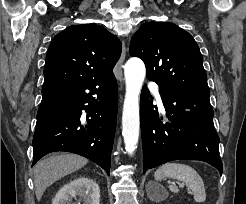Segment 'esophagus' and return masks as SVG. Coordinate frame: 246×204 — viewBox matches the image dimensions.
Returning <instances> with one entry per match:
<instances>
[{
    "mask_svg": "<svg viewBox=\"0 0 246 204\" xmlns=\"http://www.w3.org/2000/svg\"><path fill=\"white\" fill-rule=\"evenodd\" d=\"M125 54H126V46H125V43L123 41L122 53H121V56H120L119 61H118V67L120 70L122 69V65H123V62L125 60Z\"/></svg>",
    "mask_w": 246,
    "mask_h": 204,
    "instance_id": "esophagus-1",
    "label": "esophagus"
}]
</instances>
